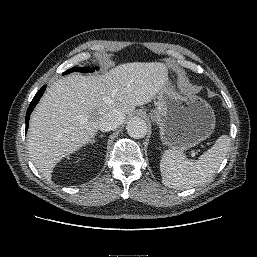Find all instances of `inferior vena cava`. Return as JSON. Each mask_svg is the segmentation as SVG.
<instances>
[{
	"label": "inferior vena cava",
	"instance_id": "inferior-vena-cava-1",
	"mask_svg": "<svg viewBox=\"0 0 257 257\" xmlns=\"http://www.w3.org/2000/svg\"><path fill=\"white\" fill-rule=\"evenodd\" d=\"M124 120V116L121 112L114 110L106 115H104L98 122L99 130L106 132L114 130L119 125H121Z\"/></svg>",
	"mask_w": 257,
	"mask_h": 257
}]
</instances>
